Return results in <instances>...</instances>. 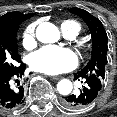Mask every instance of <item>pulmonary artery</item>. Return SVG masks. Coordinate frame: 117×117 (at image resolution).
Wrapping results in <instances>:
<instances>
[{
  "mask_svg": "<svg viewBox=\"0 0 117 117\" xmlns=\"http://www.w3.org/2000/svg\"><path fill=\"white\" fill-rule=\"evenodd\" d=\"M66 36H68L69 38H73V37H75L74 34H66Z\"/></svg>",
  "mask_w": 117,
  "mask_h": 117,
  "instance_id": "e3ab8cb5",
  "label": "pulmonary artery"
}]
</instances>
